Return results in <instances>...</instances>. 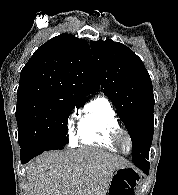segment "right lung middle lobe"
<instances>
[{"label":"right lung middle lobe","instance_id":"right-lung-middle-lobe-1","mask_svg":"<svg viewBox=\"0 0 178 195\" xmlns=\"http://www.w3.org/2000/svg\"><path fill=\"white\" fill-rule=\"evenodd\" d=\"M79 102L41 95L17 97L20 148L63 147L67 143L68 117Z\"/></svg>","mask_w":178,"mask_h":195}]
</instances>
